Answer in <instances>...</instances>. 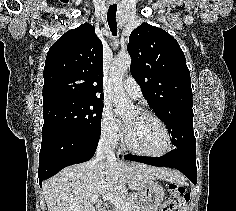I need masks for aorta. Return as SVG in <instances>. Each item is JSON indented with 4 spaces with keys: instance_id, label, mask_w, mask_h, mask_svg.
Segmentation results:
<instances>
[{
    "instance_id": "762f6f07",
    "label": "aorta",
    "mask_w": 236,
    "mask_h": 211,
    "mask_svg": "<svg viewBox=\"0 0 236 211\" xmlns=\"http://www.w3.org/2000/svg\"><path fill=\"white\" fill-rule=\"evenodd\" d=\"M131 62L129 55L117 56L110 69V97L113 101L115 112L119 115H123L133 108V103L126 97L122 87L124 73L129 69Z\"/></svg>"
}]
</instances>
